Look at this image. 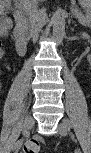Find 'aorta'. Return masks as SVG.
I'll list each match as a JSON object with an SVG mask.
<instances>
[{"mask_svg": "<svg viewBox=\"0 0 91 153\" xmlns=\"http://www.w3.org/2000/svg\"><path fill=\"white\" fill-rule=\"evenodd\" d=\"M65 35V19L58 12L53 20V38L57 43H62Z\"/></svg>", "mask_w": 91, "mask_h": 153, "instance_id": "aorta-1", "label": "aorta"}]
</instances>
